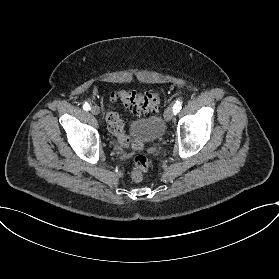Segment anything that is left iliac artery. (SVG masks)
<instances>
[{
  "label": "left iliac artery",
  "mask_w": 279,
  "mask_h": 279,
  "mask_svg": "<svg viewBox=\"0 0 279 279\" xmlns=\"http://www.w3.org/2000/svg\"><path fill=\"white\" fill-rule=\"evenodd\" d=\"M182 108V102L181 101H176V103L173 106V113L176 115L180 109Z\"/></svg>",
  "instance_id": "left-iliac-artery-1"
}]
</instances>
